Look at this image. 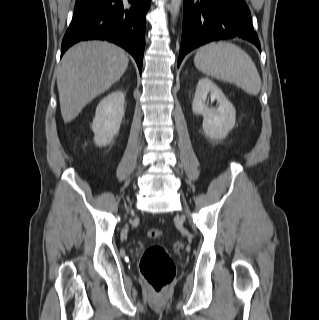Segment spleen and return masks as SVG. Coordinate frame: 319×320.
Listing matches in <instances>:
<instances>
[{
    "instance_id": "1",
    "label": "spleen",
    "mask_w": 319,
    "mask_h": 320,
    "mask_svg": "<svg viewBox=\"0 0 319 320\" xmlns=\"http://www.w3.org/2000/svg\"><path fill=\"white\" fill-rule=\"evenodd\" d=\"M194 64L202 73L233 83L250 95H258L261 78L251 57L225 41L211 42L198 49Z\"/></svg>"
}]
</instances>
